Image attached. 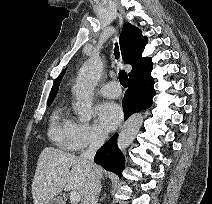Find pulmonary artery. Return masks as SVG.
<instances>
[{
    "instance_id": "1",
    "label": "pulmonary artery",
    "mask_w": 212,
    "mask_h": 204,
    "mask_svg": "<svg viewBox=\"0 0 212 204\" xmlns=\"http://www.w3.org/2000/svg\"><path fill=\"white\" fill-rule=\"evenodd\" d=\"M98 92L109 98H117L121 95V88L116 81H111L100 87Z\"/></svg>"
}]
</instances>
